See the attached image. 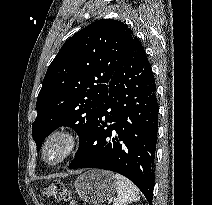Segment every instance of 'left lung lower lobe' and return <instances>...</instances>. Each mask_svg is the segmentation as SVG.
I'll list each match as a JSON object with an SVG mask.
<instances>
[{
    "instance_id": "1",
    "label": "left lung lower lobe",
    "mask_w": 212,
    "mask_h": 205,
    "mask_svg": "<svg viewBox=\"0 0 212 205\" xmlns=\"http://www.w3.org/2000/svg\"><path fill=\"white\" fill-rule=\"evenodd\" d=\"M158 131L156 84L134 36L108 85V97L69 168H100L129 178L152 205Z\"/></svg>"
}]
</instances>
